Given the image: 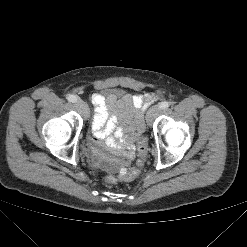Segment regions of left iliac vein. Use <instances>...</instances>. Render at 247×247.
Wrapping results in <instances>:
<instances>
[{"label":"left iliac vein","instance_id":"left-iliac-vein-1","mask_svg":"<svg viewBox=\"0 0 247 247\" xmlns=\"http://www.w3.org/2000/svg\"><path fill=\"white\" fill-rule=\"evenodd\" d=\"M160 107L158 105L153 106L146 114L147 123H151L156 115L159 113Z\"/></svg>","mask_w":247,"mask_h":247}]
</instances>
